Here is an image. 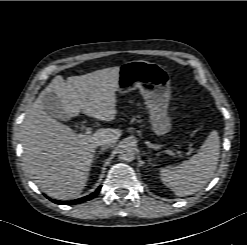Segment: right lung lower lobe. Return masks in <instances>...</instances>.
I'll list each match as a JSON object with an SVG mask.
<instances>
[{
    "mask_svg": "<svg viewBox=\"0 0 247 245\" xmlns=\"http://www.w3.org/2000/svg\"><path fill=\"white\" fill-rule=\"evenodd\" d=\"M101 189V186H99L97 188V190L95 192H93L92 194L88 195V196H85V197H82V198H79V199H76V200H72V201H57V200H52L54 203L56 204H64V205H73V204H78V203H82V202H85V201H88L92 198H94L100 191Z\"/></svg>",
    "mask_w": 247,
    "mask_h": 245,
    "instance_id": "1",
    "label": "right lung lower lobe"
}]
</instances>
